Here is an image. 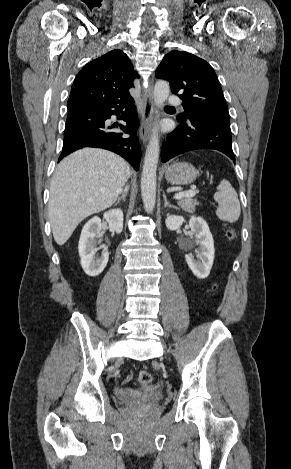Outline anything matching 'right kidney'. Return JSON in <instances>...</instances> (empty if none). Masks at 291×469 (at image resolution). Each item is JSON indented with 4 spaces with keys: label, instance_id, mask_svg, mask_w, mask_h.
<instances>
[{
    "label": "right kidney",
    "instance_id": "right-kidney-1",
    "mask_svg": "<svg viewBox=\"0 0 291 469\" xmlns=\"http://www.w3.org/2000/svg\"><path fill=\"white\" fill-rule=\"evenodd\" d=\"M104 219L109 225V229L117 234L123 229V212L121 209H112L104 213ZM102 228L101 219L97 216L90 219L83 227L78 251L81 258V266L84 272L91 276H98L106 267L109 253L105 246L101 256H96L98 251L97 244L100 243V232Z\"/></svg>",
    "mask_w": 291,
    "mask_h": 469
}]
</instances>
